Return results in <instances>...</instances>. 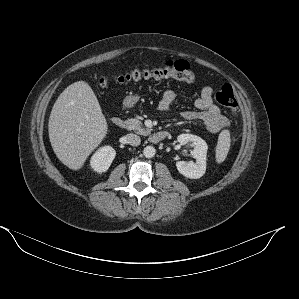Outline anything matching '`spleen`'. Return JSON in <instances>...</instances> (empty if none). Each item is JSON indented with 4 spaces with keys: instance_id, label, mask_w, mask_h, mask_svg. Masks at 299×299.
I'll list each match as a JSON object with an SVG mask.
<instances>
[{
    "instance_id": "spleen-1",
    "label": "spleen",
    "mask_w": 299,
    "mask_h": 299,
    "mask_svg": "<svg viewBox=\"0 0 299 299\" xmlns=\"http://www.w3.org/2000/svg\"><path fill=\"white\" fill-rule=\"evenodd\" d=\"M230 142H231L230 132L229 130L225 129L219 134L218 137L216 153H215V158L217 163H222L226 159L230 148Z\"/></svg>"
}]
</instances>
